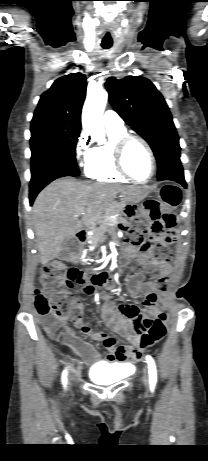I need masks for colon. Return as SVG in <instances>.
<instances>
[{
  "label": "colon",
  "mask_w": 208,
  "mask_h": 461,
  "mask_svg": "<svg viewBox=\"0 0 208 461\" xmlns=\"http://www.w3.org/2000/svg\"><path fill=\"white\" fill-rule=\"evenodd\" d=\"M181 198L178 187L165 185L160 190L159 199L146 200L140 217H135L137 230L129 234L128 242L148 254L157 264L167 261V251L160 245L161 235L163 229H172L177 225L178 217L173 210L179 207ZM148 232L156 238L155 242L146 238ZM90 272L67 267L63 261H54L43 266L40 287L35 290V307L43 318L46 332L52 338L66 342L73 340L72 335L62 328L59 319H77L82 315L83 307L70 289L75 283H82L85 277H90ZM128 306L124 308L125 314L132 316L135 312L129 313ZM143 324L145 328L139 340L129 341V346L135 353L159 342L167 331L164 314L156 318L146 317Z\"/></svg>",
  "instance_id": "colon-1"
}]
</instances>
